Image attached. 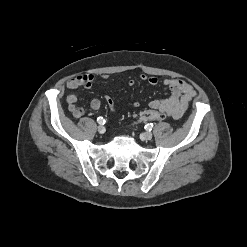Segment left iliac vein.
Instances as JSON below:
<instances>
[{
  "mask_svg": "<svg viewBox=\"0 0 247 247\" xmlns=\"http://www.w3.org/2000/svg\"><path fill=\"white\" fill-rule=\"evenodd\" d=\"M153 137V134L151 132H145L141 134L142 140H150Z\"/></svg>",
  "mask_w": 247,
  "mask_h": 247,
  "instance_id": "1",
  "label": "left iliac vein"
}]
</instances>
